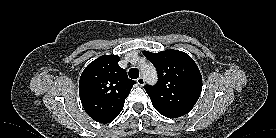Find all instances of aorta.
I'll return each mask as SVG.
<instances>
[{
  "label": "aorta",
  "mask_w": 276,
  "mask_h": 138,
  "mask_svg": "<svg viewBox=\"0 0 276 138\" xmlns=\"http://www.w3.org/2000/svg\"><path fill=\"white\" fill-rule=\"evenodd\" d=\"M142 74L148 83L154 84L157 80V73L152 64H145L141 68Z\"/></svg>",
  "instance_id": "762f6f07"
}]
</instances>
